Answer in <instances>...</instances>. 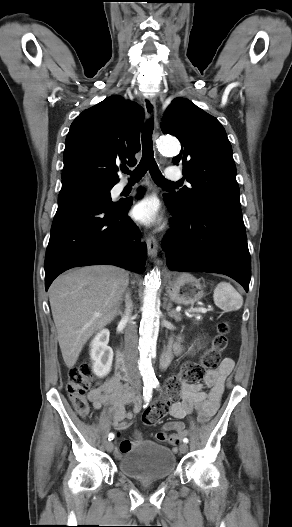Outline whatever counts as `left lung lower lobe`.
<instances>
[{
  "instance_id": "1",
  "label": "left lung lower lobe",
  "mask_w": 292,
  "mask_h": 527,
  "mask_svg": "<svg viewBox=\"0 0 292 527\" xmlns=\"http://www.w3.org/2000/svg\"><path fill=\"white\" fill-rule=\"evenodd\" d=\"M165 202L173 215L162 243L169 269L225 274L248 292L251 265L241 208L206 205L183 213Z\"/></svg>"
}]
</instances>
